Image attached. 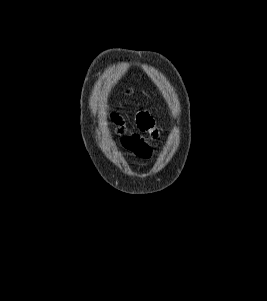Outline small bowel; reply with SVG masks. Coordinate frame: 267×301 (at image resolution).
I'll return each instance as SVG.
<instances>
[{
    "mask_svg": "<svg viewBox=\"0 0 267 301\" xmlns=\"http://www.w3.org/2000/svg\"><path fill=\"white\" fill-rule=\"evenodd\" d=\"M117 132L121 135L122 146L132 155L148 159L153 154L152 142L158 136L153 117L146 111H139L136 115L137 131L126 133V123L121 116L113 114L111 117ZM146 135V136H145Z\"/></svg>",
    "mask_w": 267,
    "mask_h": 301,
    "instance_id": "small-bowel-1",
    "label": "small bowel"
}]
</instances>
